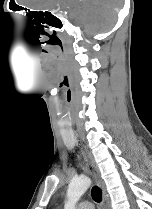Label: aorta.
<instances>
[{
  "mask_svg": "<svg viewBox=\"0 0 152 209\" xmlns=\"http://www.w3.org/2000/svg\"><path fill=\"white\" fill-rule=\"evenodd\" d=\"M91 185V180L88 177L74 178L68 185L67 201L64 209H76V204L81 196L87 191Z\"/></svg>",
  "mask_w": 152,
  "mask_h": 209,
  "instance_id": "obj_1",
  "label": "aorta"
}]
</instances>
